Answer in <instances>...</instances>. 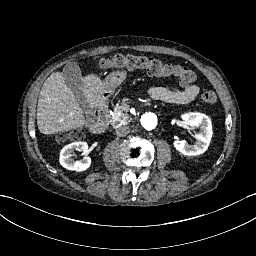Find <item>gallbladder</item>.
<instances>
[{
  "label": "gallbladder",
  "mask_w": 256,
  "mask_h": 256,
  "mask_svg": "<svg viewBox=\"0 0 256 256\" xmlns=\"http://www.w3.org/2000/svg\"><path fill=\"white\" fill-rule=\"evenodd\" d=\"M63 78L68 85V87L73 91V93L81 100L84 104V107L88 110H91L88 107V104L85 102V99L82 97V92L80 91V87L82 86V74L80 70V66L76 61H69L63 68L62 71ZM88 120L90 122H94L95 116L88 115Z\"/></svg>",
  "instance_id": "gallbladder-1"
}]
</instances>
